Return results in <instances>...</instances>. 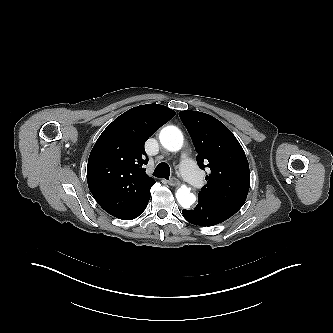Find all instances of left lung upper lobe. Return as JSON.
Segmentation results:
<instances>
[{
  "label": "left lung upper lobe",
  "mask_w": 333,
  "mask_h": 333,
  "mask_svg": "<svg viewBox=\"0 0 333 333\" xmlns=\"http://www.w3.org/2000/svg\"><path fill=\"white\" fill-rule=\"evenodd\" d=\"M201 169L210 168L198 197L235 214L244 205L250 187L249 164L238 140L219 120L198 111H181Z\"/></svg>",
  "instance_id": "left-lung-upper-lobe-1"
}]
</instances>
